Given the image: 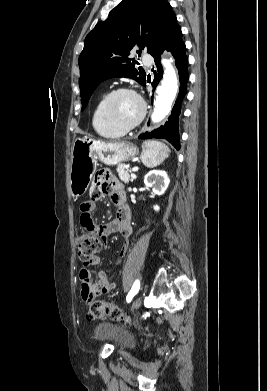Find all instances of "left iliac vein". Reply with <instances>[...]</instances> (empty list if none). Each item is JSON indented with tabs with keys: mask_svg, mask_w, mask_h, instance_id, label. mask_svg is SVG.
Returning a JSON list of instances; mask_svg holds the SVG:
<instances>
[{
	"mask_svg": "<svg viewBox=\"0 0 267 391\" xmlns=\"http://www.w3.org/2000/svg\"><path fill=\"white\" fill-rule=\"evenodd\" d=\"M141 303H142V297L136 298L132 304L131 310L133 312L136 311L140 307Z\"/></svg>",
	"mask_w": 267,
	"mask_h": 391,
	"instance_id": "left-iliac-vein-1",
	"label": "left iliac vein"
}]
</instances>
